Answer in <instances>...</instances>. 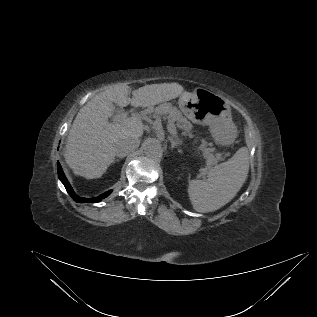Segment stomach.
<instances>
[{
    "label": "stomach",
    "instance_id": "stomach-1",
    "mask_svg": "<svg viewBox=\"0 0 317 317\" xmlns=\"http://www.w3.org/2000/svg\"><path fill=\"white\" fill-rule=\"evenodd\" d=\"M178 103L182 112L193 121L208 124L216 141L230 144L236 138L230 106L221 95L199 87L193 93L184 92ZM198 113L203 116L202 119L197 117Z\"/></svg>",
    "mask_w": 317,
    "mask_h": 317
}]
</instances>
